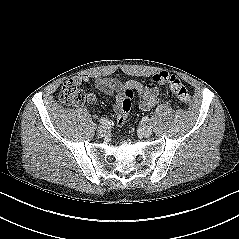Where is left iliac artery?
Listing matches in <instances>:
<instances>
[{
    "instance_id": "obj_1",
    "label": "left iliac artery",
    "mask_w": 239,
    "mask_h": 239,
    "mask_svg": "<svg viewBox=\"0 0 239 239\" xmlns=\"http://www.w3.org/2000/svg\"><path fill=\"white\" fill-rule=\"evenodd\" d=\"M145 123H147L149 121V118L147 116L143 117L142 119Z\"/></svg>"
}]
</instances>
